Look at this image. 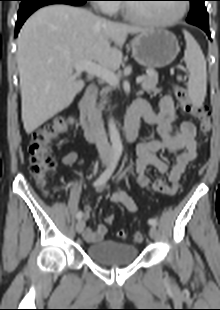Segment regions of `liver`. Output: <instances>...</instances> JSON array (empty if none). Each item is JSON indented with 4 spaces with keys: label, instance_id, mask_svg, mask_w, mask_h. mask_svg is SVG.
Listing matches in <instances>:
<instances>
[{
    "label": "liver",
    "instance_id": "1",
    "mask_svg": "<svg viewBox=\"0 0 220 310\" xmlns=\"http://www.w3.org/2000/svg\"><path fill=\"white\" fill-rule=\"evenodd\" d=\"M144 31L68 5L35 12L20 31L16 53L26 133L67 108L82 91L85 83L73 73L77 62L116 70L122 62L118 47L128 34Z\"/></svg>",
    "mask_w": 220,
    "mask_h": 310
}]
</instances>
